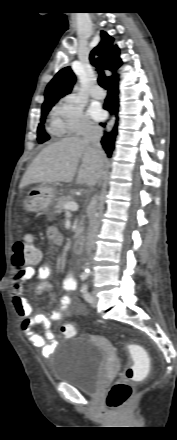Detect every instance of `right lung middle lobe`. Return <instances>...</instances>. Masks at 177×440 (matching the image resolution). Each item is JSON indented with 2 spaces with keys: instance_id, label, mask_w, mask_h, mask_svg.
Instances as JSON below:
<instances>
[{
  "instance_id": "right-lung-middle-lobe-1",
  "label": "right lung middle lobe",
  "mask_w": 177,
  "mask_h": 440,
  "mask_svg": "<svg viewBox=\"0 0 177 440\" xmlns=\"http://www.w3.org/2000/svg\"><path fill=\"white\" fill-rule=\"evenodd\" d=\"M55 103L56 102H48V103H43V105H42V111H41L42 115H41V119H40L41 123L39 124L38 130H37V133H38L37 140L39 141V143H43L49 139L48 134L45 132L43 123L45 121L46 115L48 114V112L51 110V108L53 107V105Z\"/></svg>"
}]
</instances>
